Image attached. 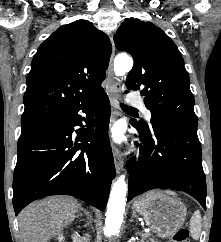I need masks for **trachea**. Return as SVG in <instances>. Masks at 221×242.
Returning a JSON list of instances; mask_svg holds the SVG:
<instances>
[{
  "mask_svg": "<svg viewBox=\"0 0 221 242\" xmlns=\"http://www.w3.org/2000/svg\"><path fill=\"white\" fill-rule=\"evenodd\" d=\"M120 106H121V108H122L123 110L130 111V112H137V110H136L135 108L130 107V106H128V105H125V104H122V103H121Z\"/></svg>",
  "mask_w": 221,
  "mask_h": 242,
  "instance_id": "1",
  "label": "trachea"
}]
</instances>
